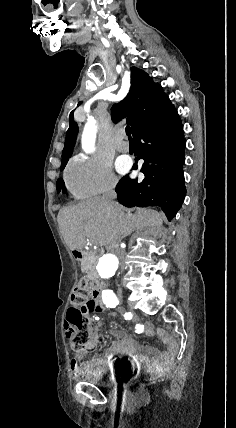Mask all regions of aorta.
Returning <instances> with one entry per match:
<instances>
[{"label": "aorta", "instance_id": "762f6f07", "mask_svg": "<svg viewBox=\"0 0 236 428\" xmlns=\"http://www.w3.org/2000/svg\"><path fill=\"white\" fill-rule=\"evenodd\" d=\"M95 123L94 118L90 117L83 131L82 145L87 152H91L94 149L97 132ZM118 266L119 261L113 254H104L97 264L98 276L103 280L110 279L117 273ZM109 292L106 290L103 294Z\"/></svg>", "mask_w": 236, "mask_h": 428}]
</instances>
